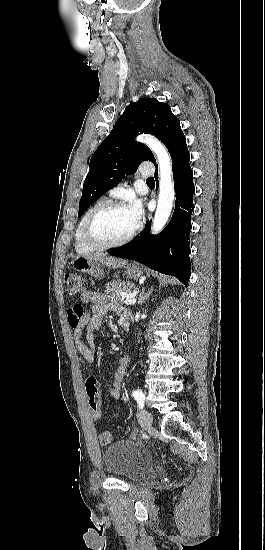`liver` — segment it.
I'll use <instances>...</instances> for the list:
<instances>
[{
    "label": "liver",
    "instance_id": "1",
    "mask_svg": "<svg viewBox=\"0 0 265 550\" xmlns=\"http://www.w3.org/2000/svg\"><path fill=\"white\" fill-rule=\"evenodd\" d=\"M88 258L95 259L102 263L103 265H106L107 267H110L112 269H117L119 267H122L126 264V261L120 260V259H114L107 257L104 254H95L91 256H87Z\"/></svg>",
    "mask_w": 265,
    "mask_h": 550
}]
</instances>
